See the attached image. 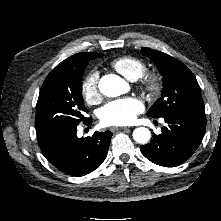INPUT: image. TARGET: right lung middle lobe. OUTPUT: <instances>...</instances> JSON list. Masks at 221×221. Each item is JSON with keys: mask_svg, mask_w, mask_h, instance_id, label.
<instances>
[{"mask_svg": "<svg viewBox=\"0 0 221 221\" xmlns=\"http://www.w3.org/2000/svg\"><path fill=\"white\" fill-rule=\"evenodd\" d=\"M87 64L77 68L56 66L46 77L36 105L37 135L56 128L77 126L87 120L83 115L87 109L82 97V77Z\"/></svg>", "mask_w": 221, "mask_h": 221, "instance_id": "right-lung-middle-lobe-1", "label": "right lung middle lobe"}]
</instances>
